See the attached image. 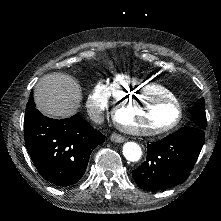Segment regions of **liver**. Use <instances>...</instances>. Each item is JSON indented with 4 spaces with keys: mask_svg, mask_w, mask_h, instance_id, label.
Wrapping results in <instances>:
<instances>
[{
    "mask_svg": "<svg viewBox=\"0 0 221 221\" xmlns=\"http://www.w3.org/2000/svg\"><path fill=\"white\" fill-rule=\"evenodd\" d=\"M82 100L79 83L61 72L43 75L33 89V101L38 111L58 120L76 115Z\"/></svg>",
    "mask_w": 221,
    "mask_h": 221,
    "instance_id": "6515ba94",
    "label": "liver"
}]
</instances>
